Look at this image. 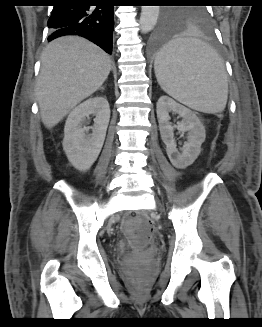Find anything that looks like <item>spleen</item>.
Wrapping results in <instances>:
<instances>
[{"label":"spleen","mask_w":262,"mask_h":327,"mask_svg":"<svg viewBox=\"0 0 262 327\" xmlns=\"http://www.w3.org/2000/svg\"><path fill=\"white\" fill-rule=\"evenodd\" d=\"M154 71L161 88L177 101L204 113L224 110L227 74L222 58L209 44L174 39L157 53Z\"/></svg>","instance_id":"3e777b00"}]
</instances>
